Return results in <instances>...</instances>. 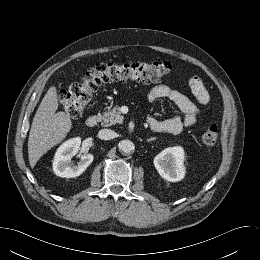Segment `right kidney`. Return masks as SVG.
Segmentation results:
<instances>
[{"label":"right kidney","mask_w":260,"mask_h":260,"mask_svg":"<svg viewBox=\"0 0 260 260\" xmlns=\"http://www.w3.org/2000/svg\"><path fill=\"white\" fill-rule=\"evenodd\" d=\"M81 144L79 137L64 142L56 151L53 160V171L57 176L74 178L81 175L93 162L92 154H83L77 164L71 158L78 153Z\"/></svg>","instance_id":"1"}]
</instances>
